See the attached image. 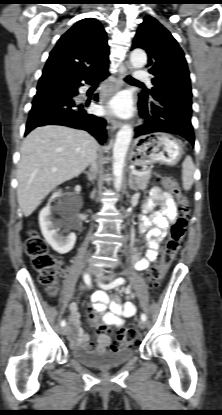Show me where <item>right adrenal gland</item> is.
Segmentation results:
<instances>
[{
  "instance_id": "2a0ac1e0",
  "label": "right adrenal gland",
  "mask_w": 222,
  "mask_h": 415,
  "mask_svg": "<svg viewBox=\"0 0 222 415\" xmlns=\"http://www.w3.org/2000/svg\"><path fill=\"white\" fill-rule=\"evenodd\" d=\"M83 173L87 175V178L90 182H92L94 180L95 176L93 174H91L87 171H84Z\"/></svg>"
}]
</instances>
